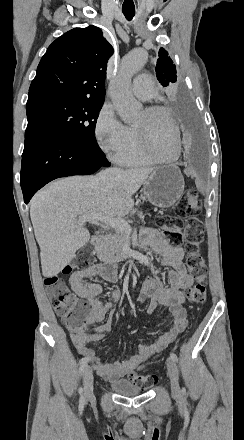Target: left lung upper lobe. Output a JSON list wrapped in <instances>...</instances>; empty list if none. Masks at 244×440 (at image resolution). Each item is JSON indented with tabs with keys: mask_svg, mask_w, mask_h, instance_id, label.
Wrapping results in <instances>:
<instances>
[{
	"mask_svg": "<svg viewBox=\"0 0 244 440\" xmlns=\"http://www.w3.org/2000/svg\"><path fill=\"white\" fill-rule=\"evenodd\" d=\"M156 76L163 87L177 81L176 67L170 57H168V52L164 48L159 50V58L156 64Z\"/></svg>",
	"mask_w": 244,
	"mask_h": 440,
	"instance_id": "1",
	"label": "left lung upper lobe"
}]
</instances>
